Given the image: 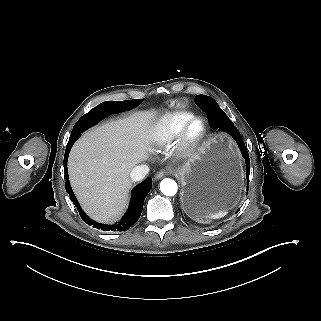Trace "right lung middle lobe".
<instances>
[{"label":"right lung middle lobe","mask_w":321,"mask_h":321,"mask_svg":"<svg viewBox=\"0 0 321 321\" xmlns=\"http://www.w3.org/2000/svg\"><path fill=\"white\" fill-rule=\"evenodd\" d=\"M142 102V99H134V100H126V101H106L103 102L101 104H99L98 106H96L95 108H93L89 113L83 115L78 122L75 124L74 128L77 127L80 123L84 124L87 123L88 121H90V119H92V113L94 111H96L97 109L101 108V107H105V106H113V105H125V104H132L135 107L138 106L140 103Z\"/></svg>","instance_id":"obj_1"}]
</instances>
